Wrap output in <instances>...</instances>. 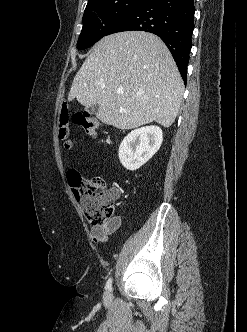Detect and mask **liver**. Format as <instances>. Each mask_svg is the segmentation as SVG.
<instances>
[{
    "label": "liver",
    "instance_id": "6515ba94",
    "mask_svg": "<svg viewBox=\"0 0 247 332\" xmlns=\"http://www.w3.org/2000/svg\"><path fill=\"white\" fill-rule=\"evenodd\" d=\"M183 92L182 78L164 42L151 33L125 31L95 44L74 77L68 100L76 98L87 108L98 104L96 117L118 129L153 121L168 128Z\"/></svg>",
    "mask_w": 247,
    "mask_h": 332
}]
</instances>
